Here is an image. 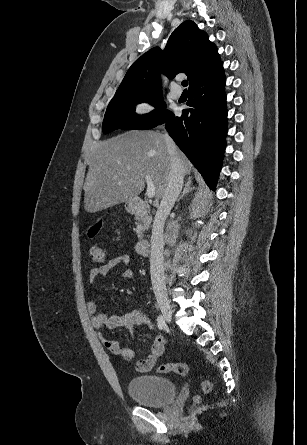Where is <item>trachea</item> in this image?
Listing matches in <instances>:
<instances>
[{
  "instance_id": "obj_1",
  "label": "trachea",
  "mask_w": 307,
  "mask_h": 445,
  "mask_svg": "<svg viewBox=\"0 0 307 445\" xmlns=\"http://www.w3.org/2000/svg\"><path fill=\"white\" fill-rule=\"evenodd\" d=\"M181 84H182L183 87H187L188 81L187 80H183V82H181Z\"/></svg>"
}]
</instances>
